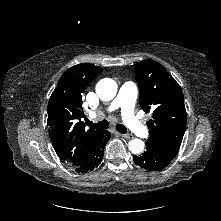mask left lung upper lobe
Returning <instances> with one entry per match:
<instances>
[{
	"label": "left lung upper lobe",
	"instance_id": "5c2ea615",
	"mask_svg": "<svg viewBox=\"0 0 221 221\" xmlns=\"http://www.w3.org/2000/svg\"><path fill=\"white\" fill-rule=\"evenodd\" d=\"M135 77L140 106L145 113L152 112V119L147 122L150 136L146 144L173 159L186 129L183 92L167 70L151 59L136 63Z\"/></svg>",
	"mask_w": 221,
	"mask_h": 221
}]
</instances>
